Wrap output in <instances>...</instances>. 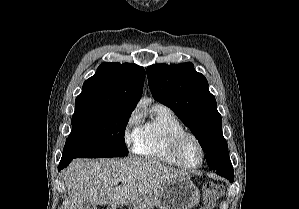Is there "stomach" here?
Wrapping results in <instances>:
<instances>
[{
  "label": "stomach",
  "mask_w": 299,
  "mask_h": 209,
  "mask_svg": "<svg viewBox=\"0 0 299 209\" xmlns=\"http://www.w3.org/2000/svg\"><path fill=\"white\" fill-rule=\"evenodd\" d=\"M200 200V192L189 177H181L156 188L153 193L134 202L120 205V209H193ZM107 209H116L110 206Z\"/></svg>",
  "instance_id": "1"
}]
</instances>
